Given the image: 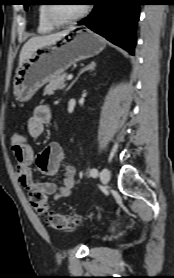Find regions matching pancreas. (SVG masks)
Segmentation results:
<instances>
[{"instance_id":"obj_1","label":"pancreas","mask_w":174,"mask_h":278,"mask_svg":"<svg viewBox=\"0 0 174 278\" xmlns=\"http://www.w3.org/2000/svg\"><path fill=\"white\" fill-rule=\"evenodd\" d=\"M66 74L59 75L51 79L48 85L44 88V95H52L56 90L63 89L65 84Z\"/></svg>"}]
</instances>
